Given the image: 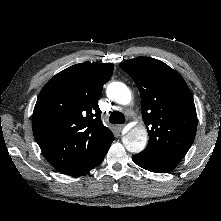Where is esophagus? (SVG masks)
<instances>
[{
	"label": "esophagus",
	"instance_id": "1",
	"mask_svg": "<svg viewBox=\"0 0 221 221\" xmlns=\"http://www.w3.org/2000/svg\"><path fill=\"white\" fill-rule=\"evenodd\" d=\"M117 128L121 132L124 129V125H118Z\"/></svg>",
	"mask_w": 221,
	"mask_h": 221
}]
</instances>
